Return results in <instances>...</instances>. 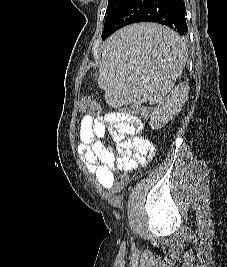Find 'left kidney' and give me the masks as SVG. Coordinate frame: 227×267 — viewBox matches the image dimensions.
<instances>
[{
  "instance_id": "5707ae66",
  "label": "left kidney",
  "mask_w": 227,
  "mask_h": 267,
  "mask_svg": "<svg viewBox=\"0 0 227 267\" xmlns=\"http://www.w3.org/2000/svg\"><path fill=\"white\" fill-rule=\"evenodd\" d=\"M188 82L177 85L171 93L162 99L152 111L150 126L152 129H160L176 116L188 98Z\"/></svg>"
}]
</instances>
